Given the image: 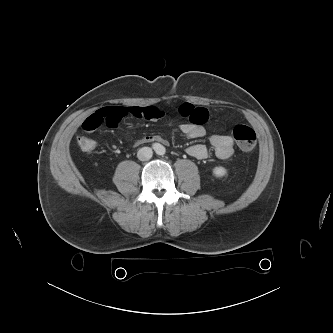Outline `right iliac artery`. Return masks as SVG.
Segmentation results:
<instances>
[{"label":"right iliac artery","instance_id":"1","mask_svg":"<svg viewBox=\"0 0 333 333\" xmlns=\"http://www.w3.org/2000/svg\"><path fill=\"white\" fill-rule=\"evenodd\" d=\"M152 147H153L154 149H157V148L159 147V144H158V143H153Z\"/></svg>","mask_w":333,"mask_h":333}]
</instances>
